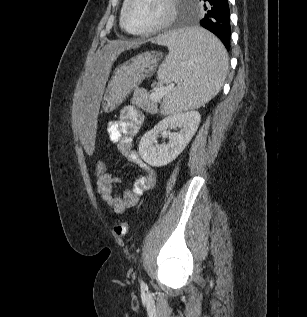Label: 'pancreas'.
<instances>
[{
    "label": "pancreas",
    "instance_id": "pancreas-1",
    "mask_svg": "<svg viewBox=\"0 0 307 317\" xmlns=\"http://www.w3.org/2000/svg\"><path fill=\"white\" fill-rule=\"evenodd\" d=\"M143 98V109L148 112L154 113L156 111V103L153 100L148 99V94L146 92H141Z\"/></svg>",
    "mask_w": 307,
    "mask_h": 317
}]
</instances>
